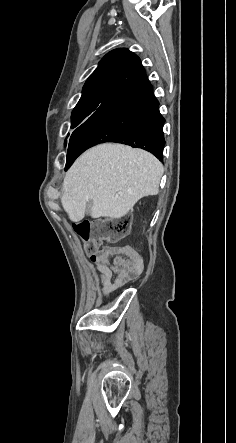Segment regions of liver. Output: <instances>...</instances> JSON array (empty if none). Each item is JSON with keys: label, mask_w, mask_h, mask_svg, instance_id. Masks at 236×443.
<instances>
[{"label": "liver", "mask_w": 236, "mask_h": 443, "mask_svg": "<svg viewBox=\"0 0 236 443\" xmlns=\"http://www.w3.org/2000/svg\"><path fill=\"white\" fill-rule=\"evenodd\" d=\"M164 169L149 152L122 144H100L83 153L67 172L61 203L73 222L125 216L139 199L157 195Z\"/></svg>", "instance_id": "liver-1"}]
</instances>
